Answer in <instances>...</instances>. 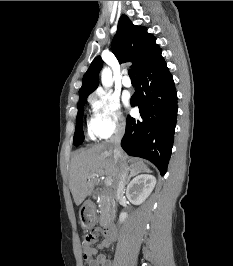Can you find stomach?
<instances>
[{
  "label": "stomach",
  "instance_id": "obj_1",
  "mask_svg": "<svg viewBox=\"0 0 233 266\" xmlns=\"http://www.w3.org/2000/svg\"><path fill=\"white\" fill-rule=\"evenodd\" d=\"M83 216H82V226L83 227H92L96 221V215L94 209L90 208V204H83Z\"/></svg>",
  "mask_w": 233,
  "mask_h": 266
}]
</instances>
